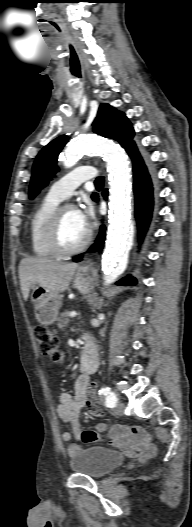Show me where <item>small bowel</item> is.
I'll list each match as a JSON object with an SVG mask.
<instances>
[{
	"mask_svg": "<svg viewBox=\"0 0 192 527\" xmlns=\"http://www.w3.org/2000/svg\"><path fill=\"white\" fill-rule=\"evenodd\" d=\"M89 342L95 348L90 340ZM90 388L89 377L87 374H83L79 376L76 382L75 399L67 392H62L59 396V404L56 409L57 416L61 422L68 423L72 427V432L62 433L63 441L69 443L67 452L71 457L81 451L82 447L78 442L80 439L88 443L97 442L102 440L101 433L107 430V426L104 423L97 424L96 431L82 430L79 417L81 409L87 406V393ZM141 432L140 426H131L128 421H116L114 426H111L109 431L106 432L105 437L113 445L129 454L131 460H136L138 464L143 465L148 457L154 455L155 448L145 434L146 430H143L142 434Z\"/></svg>",
	"mask_w": 192,
	"mask_h": 527,
	"instance_id": "small-bowel-1",
	"label": "small bowel"
}]
</instances>
